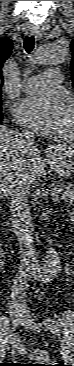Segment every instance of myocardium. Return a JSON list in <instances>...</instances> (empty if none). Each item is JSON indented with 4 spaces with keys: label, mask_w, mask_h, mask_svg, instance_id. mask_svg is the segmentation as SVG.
Listing matches in <instances>:
<instances>
[{
    "label": "myocardium",
    "mask_w": 74,
    "mask_h": 366,
    "mask_svg": "<svg viewBox=\"0 0 74 366\" xmlns=\"http://www.w3.org/2000/svg\"><path fill=\"white\" fill-rule=\"evenodd\" d=\"M71 127L67 130V134H74V108L71 109Z\"/></svg>",
    "instance_id": "obj_1"
}]
</instances>
